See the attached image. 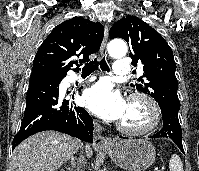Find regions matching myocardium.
Instances as JSON below:
<instances>
[{
	"label": "myocardium",
	"mask_w": 199,
	"mask_h": 171,
	"mask_svg": "<svg viewBox=\"0 0 199 171\" xmlns=\"http://www.w3.org/2000/svg\"><path fill=\"white\" fill-rule=\"evenodd\" d=\"M129 103L142 104L146 111L147 119L143 124L138 126H130L123 122H119L117 124L118 130L124 134L133 136L145 135L153 131L160 120V110L157 102L146 93L134 92L128 97V104Z\"/></svg>",
	"instance_id": "obj_1"
}]
</instances>
